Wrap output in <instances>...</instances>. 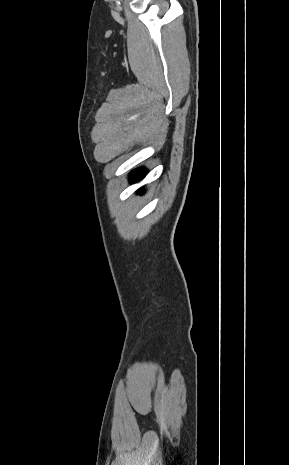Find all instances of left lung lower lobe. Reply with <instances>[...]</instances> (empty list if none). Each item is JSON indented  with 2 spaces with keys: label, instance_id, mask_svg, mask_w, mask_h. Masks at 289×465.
Here are the masks:
<instances>
[{
  "label": "left lung lower lobe",
  "instance_id": "left-lung-lower-lobe-1",
  "mask_svg": "<svg viewBox=\"0 0 289 465\" xmlns=\"http://www.w3.org/2000/svg\"><path fill=\"white\" fill-rule=\"evenodd\" d=\"M145 169H136L130 174L131 182H137L141 180L146 175Z\"/></svg>",
  "mask_w": 289,
  "mask_h": 465
}]
</instances>
